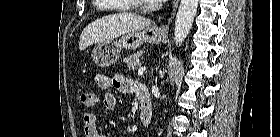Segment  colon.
<instances>
[{
  "mask_svg": "<svg viewBox=\"0 0 280 137\" xmlns=\"http://www.w3.org/2000/svg\"><path fill=\"white\" fill-rule=\"evenodd\" d=\"M80 102L86 108L93 109L97 104V97L92 92H81L80 93Z\"/></svg>",
  "mask_w": 280,
  "mask_h": 137,
  "instance_id": "5ec220e1",
  "label": "colon"
}]
</instances>
